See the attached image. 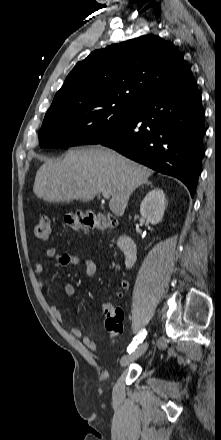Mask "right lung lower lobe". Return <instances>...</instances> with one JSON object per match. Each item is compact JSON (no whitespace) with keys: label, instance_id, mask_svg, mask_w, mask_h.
Here are the masks:
<instances>
[{"label":"right lung lower lobe","instance_id":"right-lung-lower-lobe-1","mask_svg":"<svg viewBox=\"0 0 221 440\" xmlns=\"http://www.w3.org/2000/svg\"><path fill=\"white\" fill-rule=\"evenodd\" d=\"M204 111L191 80L136 105L127 121L99 144L181 180L193 197L201 172Z\"/></svg>","mask_w":221,"mask_h":440}]
</instances>
